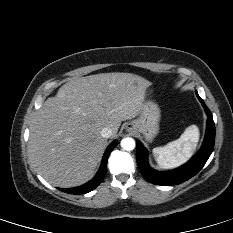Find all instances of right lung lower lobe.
Instances as JSON below:
<instances>
[{
	"instance_id": "right-lung-lower-lobe-1",
	"label": "right lung lower lobe",
	"mask_w": 233,
	"mask_h": 233,
	"mask_svg": "<svg viewBox=\"0 0 233 233\" xmlns=\"http://www.w3.org/2000/svg\"><path fill=\"white\" fill-rule=\"evenodd\" d=\"M116 145H117V141H114L107 148V150L103 156V160H102V164L100 166V169H99L98 173L96 174V176L91 181H89L88 183H86L82 186H79V187L69 188V189L59 188V190L66 192V193H70V194H84V193H87V192L94 190L97 186H99V184L102 182V180L105 176V173L107 170L108 157Z\"/></svg>"
}]
</instances>
